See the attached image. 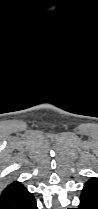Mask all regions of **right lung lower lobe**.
<instances>
[{
	"mask_svg": "<svg viewBox=\"0 0 98 209\" xmlns=\"http://www.w3.org/2000/svg\"><path fill=\"white\" fill-rule=\"evenodd\" d=\"M0 209H38L34 196L22 187L20 190L0 201Z\"/></svg>",
	"mask_w": 98,
	"mask_h": 209,
	"instance_id": "98d812e1",
	"label": "right lung lower lobe"
}]
</instances>
